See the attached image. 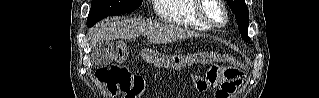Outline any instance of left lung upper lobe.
Wrapping results in <instances>:
<instances>
[{"label":"left lung upper lobe","mask_w":319,"mask_h":98,"mask_svg":"<svg viewBox=\"0 0 319 98\" xmlns=\"http://www.w3.org/2000/svg\"><path fill=\"white\" fill-rule=\"evenodd\" d=\"M228 6L231 8L232 12L235 14L239 31L242 33V38L245 41H250L247 35L248 25H249V13L248 8L244 0H227Z\"/></svg>","instance_id":"left-lung-upper-lobe-1"}]
</instances>
